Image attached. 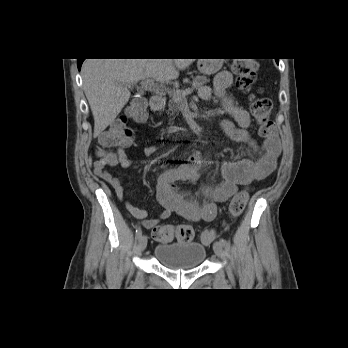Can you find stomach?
<instances>
[{
	"label": "stomach",
	"mask_w": 348,
	"mask_h": 348,
	"mask_svg": "<svg viewBox=\"0 0 348 348\" xmlns=\"http://www.w3.org/2000/svg\"><path fill=\"white\" fill-rule=\"evenodd\" d=\"M223 64V59H198L197 67L200 73L211 75L218 72Z\"/></svg>",
	"instance_id": "stomach-1"
}]
</instances>
